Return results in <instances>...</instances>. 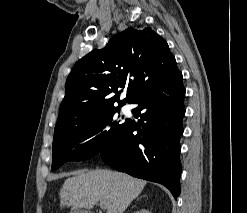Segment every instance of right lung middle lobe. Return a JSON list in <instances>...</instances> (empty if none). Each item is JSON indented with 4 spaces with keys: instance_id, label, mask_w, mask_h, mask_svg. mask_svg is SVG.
Returning a JSON list of instances; mask_svg holds the SVG:
<instances>
[{
    "instance_id": "1",
    "label": "right lung middle lobe",
    "mask_w": 247,
    "mask_h": 213,
    "mask_svg": "<svg viewBox=\"0 0 247 213\" xmlns=\"http://www.w3.org/2000/svg\"><path fill=\"white\" fill-rule=\"evenodd\" d=\"M117 110L118 107L107 110L88 123L54 136L52 170L67 161L87 160L112 149L127 123L117 118Z\"/></svg>"
}]
</instances>
